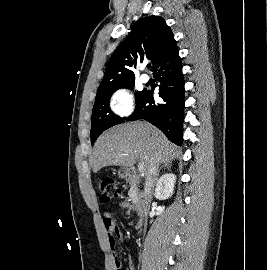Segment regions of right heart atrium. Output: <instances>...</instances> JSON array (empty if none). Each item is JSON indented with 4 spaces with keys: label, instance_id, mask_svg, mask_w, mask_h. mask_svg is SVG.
Listing matches in <instances>:
<instances>
[{
    "label": "right heart atrium",
    "instance_id": "1",
    "mask_svg": "<svg viewBox=\"0 0 267 270\" xmlns=\"http://www.w3.org/2000/svg\"><path fill=\"white\" fill-rule=\"evenodd\" d=\"M109 108L114 116L130 115L134 109V100L129 89L120 87L114 90L109 98Z\"/></svg>",
    "mask_w": 267,
    "mask_h": 270
}]
</instances>
